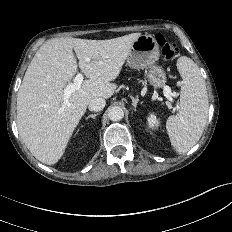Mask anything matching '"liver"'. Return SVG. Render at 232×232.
I'll return each mask as SVG.
<instances>
[{"label":"liver","instance_id":"obj_1","mask_svg":"<svg viewBox=\"0 0 232 232\" xmlns=\"http://www.w3.org/2000/svg\"><path fill=\"white\" fill-rule=\"evenodd\" d=\"M139 36L141 33L108 40L53 38L38 49L17 96L19 135L36 159L46 165L60 160L89 102L114 94L116 85L111 81L119 76ZM78 66L88 79L65 105L63 90Z\"/></svg>","mask_w":232,"mask_h":232}]
</instances>
